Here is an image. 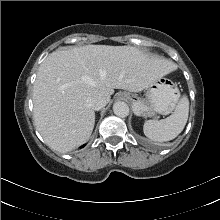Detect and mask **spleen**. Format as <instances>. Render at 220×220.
<instances>
[{
    "mask_svg": "<svg viewBox=\"0 0 220 220\" xmlns=\"http://www.w3.org/2000/svg\"><path fill=\"white\" fill-rule=\"evenodd\" d=\"M189 114V100L184 95L172 115L161 120H147L143 125L146 137L153 141L165 142L176 138L184 129Z\"/></svg>",
    "mask_w": 220,
    "mask_h": 220,
    "instance_id": "obj_1",
    "label": "spleen"
}]
</instances>
